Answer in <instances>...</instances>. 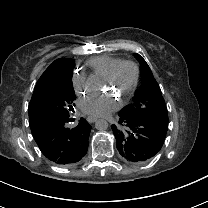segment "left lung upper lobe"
<instances>
[{
	"instance_id": "left-lung-upper-lobe-1",
	"label": "left lung upper lobe",
	"mask_w": 208,
	"mask_h": 208,
	"mask_svg": "<svg viewBox=\"0 0 208 208\" xmlns=\"http://www.w3.org/2000/svg\"><path fill=\"white\" fill-rule=\"evenodd\" d=\"M142 68V83L134 102L121 110L124 114L156 121L168 128V114L160 87L146 61L135 54Z\"/></svg>"
}]
</instances>
